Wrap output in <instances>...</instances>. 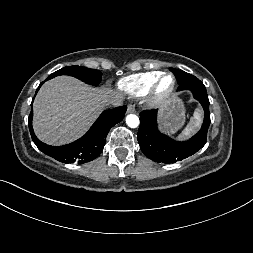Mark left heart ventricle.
Instances as JSON below:
<instances>
[{
    "mask_svg": "<svg viewBox=\"0 0 253 253\" xmlns=\"http://www.w3.org/2000/svg\"><path fill=\"white\" fill-rule=\"evenodd\" d=\"M172 84V79L170 77H165L162 81H161V84H160V91H166L167 89L170 88Z\"/></svg>",
    "mask_w": 253,
    "mask_h": 253,
    "instance_id": "obj_1",
    "label": "left heart ventricle"
}]
</instances>
